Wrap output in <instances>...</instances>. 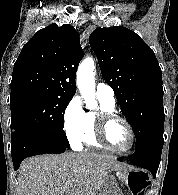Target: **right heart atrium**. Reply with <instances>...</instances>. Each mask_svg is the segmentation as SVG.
<instances>
[{"instance_id":"obj_1","label":"right heart atrium","mask_w":178,"mask_h":195,"mask_svg":"<svg viewBox=\"0 0 178 195\" xmlns=\"http://www.w3.org/2000/svg\"><path fill=\"white\" fill-rule=\"evenodd\" d=\"M63 125L69 142L80 146L87 130L86 112L79 96H74L67 103L63 112Z\"/></svg>"}]
</instances>
